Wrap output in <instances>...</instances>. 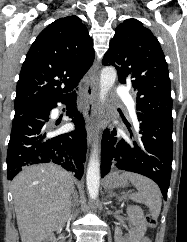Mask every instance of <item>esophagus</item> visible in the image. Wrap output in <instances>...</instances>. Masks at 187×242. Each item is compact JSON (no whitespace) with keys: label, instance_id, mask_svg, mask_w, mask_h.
I'll list each match as a JSON object with an SVG mask.
<instances>
[{"label":"esophagus","instance_id":"obj_1","mask_svg":"<svg viewBox=\"0 0 187 242\" xmlns=\"http://www.w3.org/2000/svg\"><path fill=\"white\" fill-rule=\"evenodd\" d=\"M98 64L95 63L89 72V82L86 86L87 105L85 111V123L87 131V141L92 143L95 135V118L97 114L98 99Z\"/></svg>","mask_w":187,"mask_h":242}]
</instances>
